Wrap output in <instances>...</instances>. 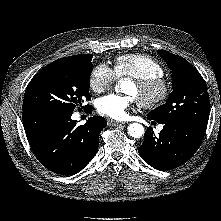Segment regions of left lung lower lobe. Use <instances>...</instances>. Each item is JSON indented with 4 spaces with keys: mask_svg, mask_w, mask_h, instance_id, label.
Here are the masks:
<instances>
[{
    "mask_svg": "<svg viewBox=\"0 0 221 221\" xmlns=\"http://www.w3.org/2000/svg\"><path fill=\"white\" fill-rule=\"evenodd\" d=\"M161 124H164V128L159 136H155L152 129H147L138 152L153 168L170 170L183 165L195 154L207 126L183 121Z\"/></svg>",
    "mask_w": 221,
    "mask_h": 221,
    "instance_id": "obj_1",
    "label": "left lung lower lobe"
}]
</instances>
